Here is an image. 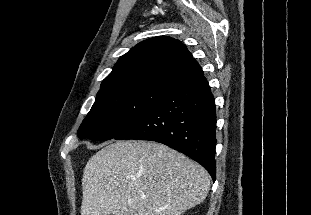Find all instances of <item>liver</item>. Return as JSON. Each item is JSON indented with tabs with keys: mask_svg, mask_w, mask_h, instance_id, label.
<instances>
[{
	"mask_svg": "<svg viewBox=\"0 0 311 215\" xmlns=\"http://www.w3.org/2000/svg\"><path fill=\"white\" fill-rule=\"evenodd\" d=\"M208 172L163 144L116 141L87 162L81 215H181L200 204Z\"/></svg>",
	"mask_w": 311,
	"mask_h": 215,
	"instance_id": "liver-1",
	"label": "liver"
}]
</instances>
